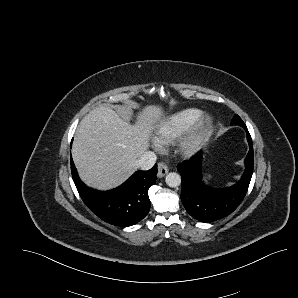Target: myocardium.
<instances>
[{
  "label": "myocardium",
  "instance_id": "1",
  "mask_svg": "<svg viewBox=\"0 0 298 298\" xmlns=\"http://www.w3.org/2000/svg\"><path fill=\"white\" fill-rule=\"evenodd\" d=\"M206 124L207 128L202 129ZM215 131V120L210 114H203L187 130L174 141L176 151L183 156H191L198 152Z\"/></svg>",
  "mask_w": 298,
  "mask_h": 298
}]
</instances>
